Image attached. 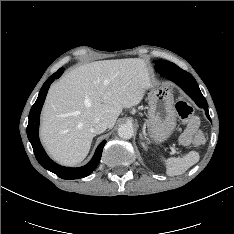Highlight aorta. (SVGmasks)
<instances>
[{"label":"aorta","instance_id":"1","mask_svg":"<svg viewBox=\"0 0 234 234\" xmlns=\"http://www.w3.org/2000/svg\"><path fill=\"white\" fill-rule=\"evenodd\" d=\"M118 135L122 139H130L134 135L133 126L131 124H122L118 128Z\"/></svg>","mask_w":234,"mask_h":234}]
</instances>
